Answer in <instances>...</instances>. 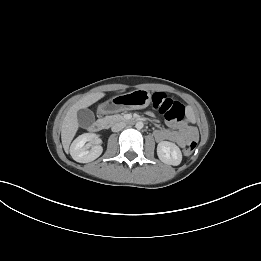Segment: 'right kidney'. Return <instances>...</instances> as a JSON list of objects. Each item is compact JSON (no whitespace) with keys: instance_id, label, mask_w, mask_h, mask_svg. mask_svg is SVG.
Listing matches in <instances>:
<instances>
[{"instance_id":"obj_1","label":"right kidney","mask_w":261,"mask_h":261,"mask_svg":"<svg viewBox=\"0 0 261 261\" xmlns=\"http://www.w3.org/2000/svg\"><path fill=\"white\" fill-rule=\"evenodd\" d=\"M96 139L97 135L95 133H85L78 136L70 146L72 158L79 163H88L98 158L102 154V146L95 145L88 150L91 143Z\"/></svg>"}]
</instances>
